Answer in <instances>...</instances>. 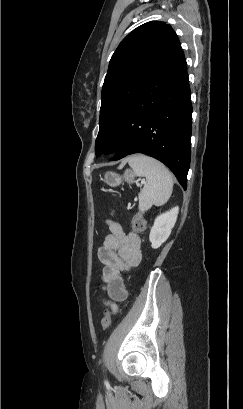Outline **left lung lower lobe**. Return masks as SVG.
I'll list each match as a JSON object with an SVG mask.
<instances>
[{
  "instance_id": "obj_1",
  "label": "left lung lower lobe",
  "mask_w": 243,
  "mask_h": 409,
  "mask_svg": "<svg viewBox=\"0 0 243 409\" xmlns=\"http://www.w3.org/2000/svg\"><path fill=\"white\" fill-rule=\"evenodd\" d=\"M191 115L187 65L179 45L144 89L109 160L146 154L168 166L186 189Z\"/></svg>"
}]
</instances>
